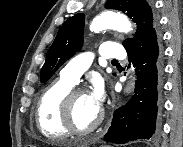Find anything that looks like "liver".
Returning a JSON list of instances; mask_svg holds the SVG:
<instances>
[{
    "mask_svg": "<svg viewBox=\"0 0 183 147\" xmlns=\"http://www.w3.org/2000/svg\"><path fill=\"white\" fill-rule=\"evenodd\" d=\"M62 145L65 146V147L80 146V144L78 143V141H75V142L68 141V142L62 143Z\"/></svg>",
    "mask_w": 183,
    "mask_h": 147,
    "instance_id": "1",
    "label": "liver"
}]
</instances>
